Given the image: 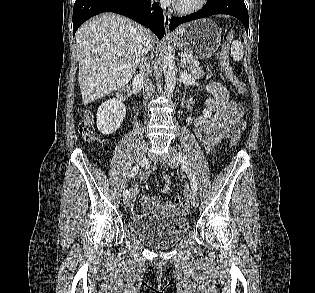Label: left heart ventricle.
Segmentation results:
<instances>
[{
    "instance_id": "b2bd125f",
    "label": "left heart ventricle",
    "mask_w": 315,
    "mask_h": 293,
    "mask_svg": "<svg viewBox=\"0 0 315 293\" xmlns=\"http://www.w3.org/2000/svg\"><path fill=\"white\" fill-rule=\"evenodd\" d=\"M198 0H175L181 6L189 7L197 3Z\"/></svg>"
}]
</instances>
